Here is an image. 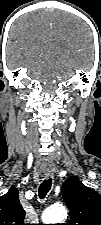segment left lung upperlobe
<instances>
[{
  "instance_id": "left-lung-upper-lobe-1",
  "label": "left lung upper lobe",
  "mask_w": 101,
  "mask_h": 225,
  "mask_svg": "<svg viewBox=\"0 0 101 225\" xmlns=\"http://www.w3.org/2000/svg\"><path fill=\"white\" fill-rule=\"evenodd\" d=\"M61 190L70 213L67 225H101V195L98 192L76 177L68 178Z\"/></svg>"
}]
</instances>
